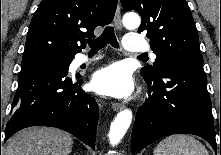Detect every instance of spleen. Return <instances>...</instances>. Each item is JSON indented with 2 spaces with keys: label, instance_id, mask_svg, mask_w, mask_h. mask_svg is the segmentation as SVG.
<instances>
[{
  "label": "spleen",
  "instance_id": "obj_1",
  "mask_svg": "<svg viewBox=\"0 0 221 155\" xmlns=\"http://www.w3.org/2000/svg\"><path fill=\"white\" fill-rule=\"evenodd\" d=\"M154 155H209V153L195 137L178 134L162 140L157 145Z\"/></svg>",
  "mask_w": 221,
  "mask_h": 155
}]
</instances>
